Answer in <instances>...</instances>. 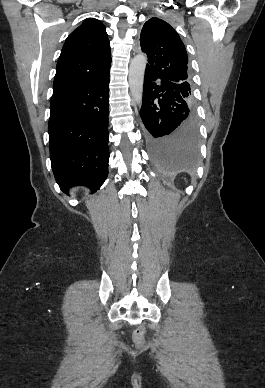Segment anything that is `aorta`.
I'll use <instances>...</instances> for the list:
<instances>
[{
    "label": "aorta",
    "instance_id": "aorta-1",
    "mask_svg": "<svg viewBox=\"0 0 265 388\" xmlns=\"http://www.w3.org/2000/svg\"><path fill=\"white\" fill-rule=\"evenodd\" d=\"M147 58L143 54L136 55L129 66V86L133 99L138 105L142 104L144 74Z\"/></svg>",
    "mask_w": 265,
    "mask_h": 388
}]
</instances>
